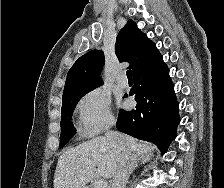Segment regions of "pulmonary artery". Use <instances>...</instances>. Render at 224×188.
I'll list each match as a JSON object with an SVG mask.
<instances>
[{"instance_id": "obj_1", "label": "pulmonary artery", "mask_w": 224, "mask_h": 188, "mask_svg": "<svg viewBox=\"0 0 224 188\" xmlns=\"http://www.w3.org/2000/svg\"><path fill=\"white\" fill-rule=\"evenodd\" d=\"M116 83L119 87L121 88H126L128 86V80L126 78V75L125 74H121L117 80H116Z\"/></svg>"}]
</instances>
